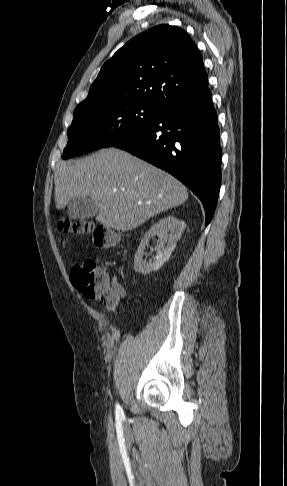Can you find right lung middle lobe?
Returning a JSON list of instances; mask_svg holds the SVG:
<instances>
[{
	"mask_svg": "<svg viewBox=\"0 0 287 486\" xmlns=\"http://www.w3.org/2000/svg\"><path fill=\"white\" fill-rule=\"evenodd\" d=\"M161 111L148 100L109 101L74 112L62 158L124 143L140 134Z\"/></svg>",
	"mask_w": 287,
	"mask_h": 486,
	"instance_id": "obj_1",
	"label": "right lung middle lobe"
}]
</instances>
